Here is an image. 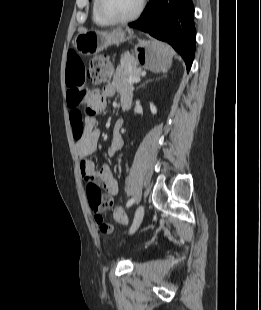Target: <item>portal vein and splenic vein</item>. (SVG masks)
<instances>
[{
  "label": "portal vein and splenic vein",
  "mask_w": 261,
  "mask_h": 310,
  "mask_svg": "<svg viewBox=\"0 0 261 310\" xmlns=\"http://www.w3.org/2000/svg\"><path fill=\"white\" fill-rule=\"evenodd\" d=\"M129 83H137L140 81V77H130L127 79Z\"/></svg>",
  "instance_id": "obj_1"
}]
</instances>
